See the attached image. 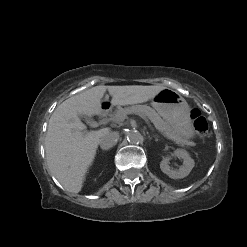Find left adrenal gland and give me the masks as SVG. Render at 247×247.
Segmentation results:
<instances>
[{
	"label": "left adrenal gland",
	"mask_w": 247,
	"mask_h": 247,
	"mask_svg": "<svg viewBox=\"0 0 247 247\" xmlns=\"http://www.w3.org/2000/svg\"><path fill=\"white\" fill-rule=\"evenodd\" d=\"M153 137L155 138L156 141L158 140V138L156 136H153ZM150 139H151V137H150Z\"/></svg>",
	"instance_id": "a2214340"
}]
</instances>
